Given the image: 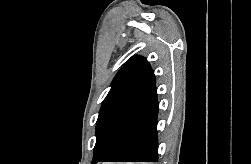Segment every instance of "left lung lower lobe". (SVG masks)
Wrapping results in <instances>:
<instances>
[{
    "mask_svg": "<svg viewBox=\"0 0 251 164\" xmlns=\"http://www.w3.org/2000/svg\"><path fill=\"white\" fill-rule=\"evenodd\" d=\"M157 115L154 85L129 110L116 134L110 155L101 162H157Z\"/></svg>",
    "mask_w": 251,
    "mask_h": 164,
    "instance_id": "obj_1",
    "label": "left lung lower lobe"
}]
</instances>
